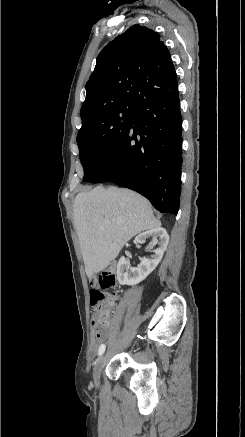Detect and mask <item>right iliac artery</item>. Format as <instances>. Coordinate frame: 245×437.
I'll return each mask as SVG.
<instances>
[{"label": "right iliac artery", "mask_w": 245, "mask_h": 437, "mask_svg": "<svg viewBox=\"0 0 245 437\" xmlns=\"http://www.w3.org/2000/svg\"><path fill=\"white\" fill-rule=\"evenodd\" d=\"M105 344H102L100 347H99V350H98V355L100 356V355H102L103 354V352L105 351Z\"/></svg>", "instance_id": "obj_1"}]
</instances>
